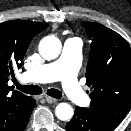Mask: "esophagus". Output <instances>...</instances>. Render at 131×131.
<instances>
[{"instance_id":"1","label":"esophagus","mask_w":131,"mask_h":131,"mask_svg":"<svg viewBox=\"0 0 131 131\" xmlns=\"http://www.w3.org/2000/svg\"><path fill=\"white\" fill-rule=\"evenodd\" d=\"M45 100L48 102V103H56L57 102V99L53 98V97H50V96H45Z\"/></svg>"}]
</instances>
